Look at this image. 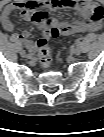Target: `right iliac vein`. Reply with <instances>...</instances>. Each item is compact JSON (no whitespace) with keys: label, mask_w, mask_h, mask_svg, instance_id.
<instances>
[{"label":"right iliac vein","mask_w":104,"mask_h":137,"mask_svg":"<svg viewBox=\"0 0 104 137\" xmlns=\"http://www.w3.org/2000/svg\"><path fill=\"white\" fill-rule=\"evenodd\" d=\"M20 55L25 58H31V54H27L24 50L20 51Z\"/></svg>","instance_id":"obj_1"}]
</instances>
